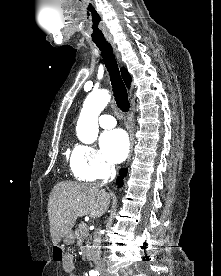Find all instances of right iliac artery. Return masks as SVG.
I'll use <instances>...</instances> for the list:
<instances>
[{
    "label": "right iliac artery",
    "mask_w": 221,
    "mask_h": 276,
    "mask_svg": "<svg viewBox=\"0 0 221 276\" xmlns=\"http://www.w3.org/2000/svg\"><path fill=\"white\" fill-rule=\"evenodd\" d=\"M90 276H98L99 275V273L97 272V271H90Z\"/></svg>",
    "instance_id": "82829eb1"
}]
</instances>
